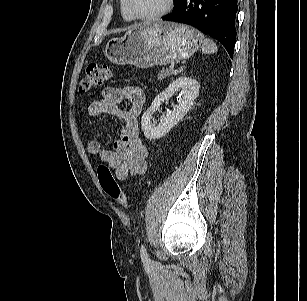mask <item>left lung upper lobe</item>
<instances>
[{"label": "left lung upper lobe", "mask_w": 307, "mask_h": 301, "mask_svg": "<svg viewBox=\"0 0 307 301\" xmlns=\"http://www.w3.org/2000/svg\"><path fill=\"white\" fill-rule=\"evenodd\" d=\"M179 2V0H174V4L176 5Z\"/></svg>", "instance_id": "1"}]
</instances>
